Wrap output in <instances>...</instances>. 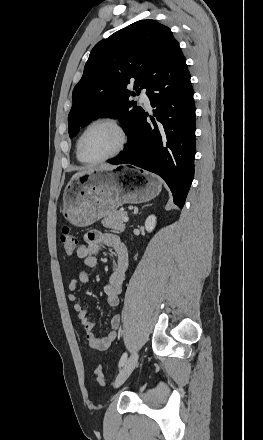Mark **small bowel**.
Here are the masks:
<instances>
[{
  "label": "small bowel",
  "mask_w": 263,
  "mask_h": 440,
  "mask_svg": "<svg viewBox=\"0 0 263 440\" xmlns=\"http://www.w3.org/2000/svg\"><path fill=\"white\" fill-rule=\"evenodd\" d=\"M85 242L78 245L76 255L81 259L88 269H93L97 265L95 255L102 246L114 250L116 260L109 276V280L104 287L106 302L111 308H117L120 302V294L123 290L124 281L129 268L128 251L122 239L112 233H103L97 230L89 231L85 234ZM90 281V274L82 271L76 278H73L68 286V298L74 305V310L83 327L85 338L90 348L98 351L105 350L116 339V330L121 324V317L115 314L111 319V330L103 337L95 334L96 323L83 307L78 297V285L86 284Z\"/></svg>",
  "instance_id": "1"
}]
</instances>
